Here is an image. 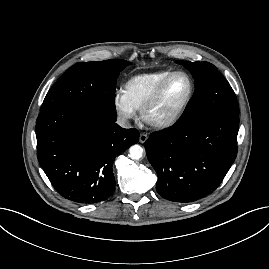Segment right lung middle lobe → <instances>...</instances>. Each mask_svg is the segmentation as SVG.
I'll list each match as a JSON object with an SVG mask.
<instances>
[{
  "instance_id": "obj_1",
  "label": "right lung middle lobe",
  "mask_w": 269,
  "mask_h": 269,
  "mask_svg": "<svg viewBox=\"0 0 269 269\" xmlns=\"http://www.w3.org/2000/svg\"><path fill=\"white\" fill-rule=\"evenodd\" d=\"M129 64L128 61L114 59L73 65L51 87L40 111L69 106L116 120L117 77Z\"/></svg>"
}]
</instances>
